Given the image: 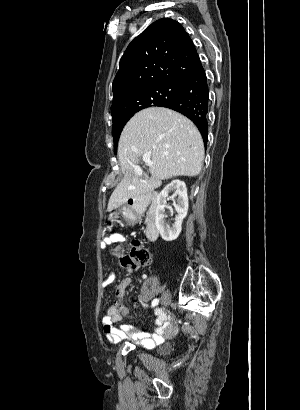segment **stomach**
I'll return each instance as SVG.
<instances>
[{
  "instance_id": "0dacf381",
  "label": "stomach",
  "mask_w": 300,
  "mask_h": 410,
  "mask_svg": "<svg viewBox=\"0 0 300 410\" xmlns=\"http://www.w3.org/2000/svg\"><path fill=\"white\" fill-rule=\"evenodd\" d=\"M119 215L124 216L125 218H129L131 216H133L132 211L127 208V207H123L121 209H119L116 212H113L109 215L108 220H107V228L109 230H111V228L113 227L114 223L116 222V220L119 218Z\"/></svg>"
}]
</instances>
